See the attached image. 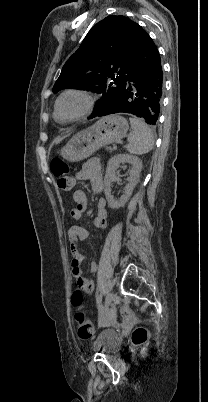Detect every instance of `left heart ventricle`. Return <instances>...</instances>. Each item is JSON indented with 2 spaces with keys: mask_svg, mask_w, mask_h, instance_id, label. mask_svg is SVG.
<instances>
[{
  "mask_svg": "<svg viewBox=\"0 0 208 402\" xmlns=\"http://www.w3.org/2000/svg\"><path fill=\"white\" fill-rule=\"evenodd\" d=\"M87 106L88 100L85 96L80 94H68L61 99L58 109L63 117L70 118L84 112Z\"/></svg>",
  "mask_w": 208,
  "mask_h": 402,
  "instance_id": "1",
  "label": "left heart ventricle"
}]
</instances>
